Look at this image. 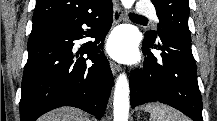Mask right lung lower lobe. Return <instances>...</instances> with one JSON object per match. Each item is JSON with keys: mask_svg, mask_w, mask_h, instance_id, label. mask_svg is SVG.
I'll return each mask as SVG.
<instances>
[{"mask_svg": "<svg viewBox=\"0 0 217 121\" xmlns=\"http://www.w3.org/2000/svg\"><path fill=\"white\" fill-rule=\"evenodd\" d=\"M112 20V0H108L74 20L31 32L22 79L21 121H35L61 106L80 108L98 119L103 116L114 80L107 58L97 53ZM83 24L90 29L84 31ZM84 36L95 41L76 52L73 41Z\"/></svg>", "mask_w": 217, "mask_h": 121, "instance_id": "right-lung-lower-lobe-1", "label": "right lung lower lobe"}]
</instances>
